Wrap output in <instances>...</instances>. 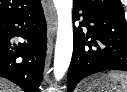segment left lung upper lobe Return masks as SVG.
Returning <instances> with one entry per match:
<instances>
[{
  "instance_id": "left-lung-upper-lobe-1",
  "label": "left lung upper lobe",
  "mask_w": 127,
  "mask_h": 92,
  "mask_svg": "<svg viewBox=\"0 0 127 92\" xmlns=\"http://www.w3.org/2000/svg\"><path fill=\"white\" fill-rule=\"evenodd\" d=\"M74 4L95 12L125 17L120 0H74Z\"/></svg>"
}]
</instances>
